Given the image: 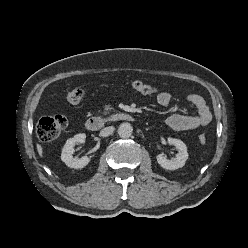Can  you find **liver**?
Wrapping results in <instances>:
<instances>
[{
  "instance_id": "6515ba94",
  "label": "liver",
  "mask_w": 248,
  "mask_h": 248,
  "mask_svg": "<svg viewBox=\"0 0 248 248\" xmlns=\"http://www.w3.org/2000/svg\"><path fill=\"white\" fill-rule=\"evenodd\" d=\"M37 151H38V154L42 157L43 156V149L39 144L37 145Z\"/></svg>"
}]
</instances>
